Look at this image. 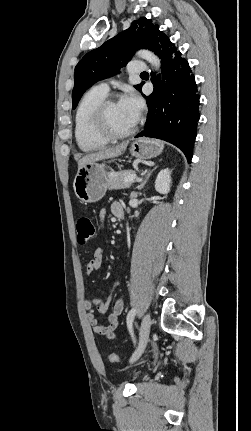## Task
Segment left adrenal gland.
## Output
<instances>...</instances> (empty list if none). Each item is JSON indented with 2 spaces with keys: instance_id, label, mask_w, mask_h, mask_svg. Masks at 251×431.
<instances>
[{
  "instance_id": "obj_1",
  "label": "left adrenal gland",
  "mask_w": 251,
  "mask_h": 431,
  "mask_svg": "<svg viewBox=\"0 0 251 431\" xmlns=\"http://www.w3.org/2000/svg\"><path fill=\"white\" fill-rule=\"evenodd\" d=\"M156 168L157 167H154L153 169H151V170H148V171H146L145 172V177H144V179H143V181L140 183V185H138V190H141L144 186H145V184L147 183V181H148V179L150 178V176H151V174H152V172L154 171V170H156Z\"/></svg>"
}]
</instances>
